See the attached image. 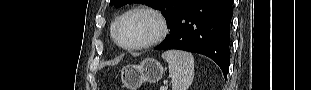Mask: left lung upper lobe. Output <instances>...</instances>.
I'll use <instances>...</instances> for the list:
<instances>
[{
    "label": "left lung upper lobe",
    "instance_id": "obj_1",
    "mask_svg": "<svg viewBox=\"0 0 311 90\" xmlns=\"http://www.w3.org/2000/svg\"><path fill=\"white\" fill-rule=\"evenodd\" d=\"M141 1L148 6L160 10L161 13L169 21L170 29L174 25L179 15L188 7L194 0H111L110 5L119 7L127 3Z\"/></svg>",
    "mask_w": 311,
    "mask_h": 90
}]
</instances>
